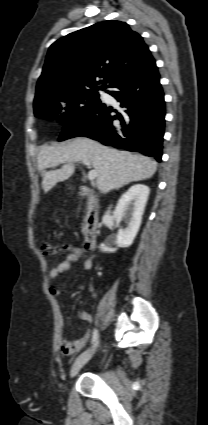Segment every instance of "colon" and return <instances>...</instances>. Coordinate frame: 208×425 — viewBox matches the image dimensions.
Wrapping results in <instances>:
<instances>
[{"instance_id":"obj_1","label":"colon","mask_w":208,"mask_h":425,"mask_svg":"<svg viewBox=\"0 0 208 425\" xmlns=\"http://www.w3.org/2000/svg\"><path fill=\"white\" fill-rule=\"evenodd\" d=\"M41 251L47 257H53L59 253V249L50 243H43L41 245Z\"/></svg>"}]
</instances>
